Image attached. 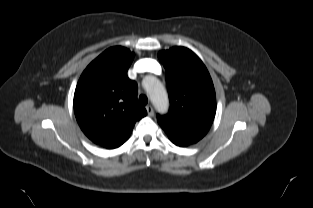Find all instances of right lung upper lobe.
Returning <instances> with one entry per match:
<instances>
[{
    "label": "right lung upper lobe",
    "instance_id": "obj_1",
    "mask_svg": "<svg viewBox=\"0 0 313 208\" xmlns=\"http://www.w3.org/2000/svg\"><path fill=\"white\" fill-rule=\"evenodd\" d=\"M134 58L127 48L111 47L82 73L74 94V113L85 135L107 149L121 146L137 120L147 115L137 101V84L127 71Z\"/></svg>",
    "mask_w": 313,
    "mask_h": 208
}]
</instances>
